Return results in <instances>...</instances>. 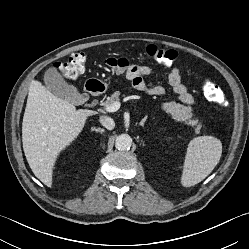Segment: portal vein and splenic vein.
Wrapping results in <instances>:
<instances>
[{"instance_id":"18ae733b","label":"portal vein and splenic vein","mask_w":249,"mask_h":249,"mask_svg":"<svg viewBox=\"0 0 249 249\" xmlns=\"http://www.w3.org/2000/svg\"><path fill=\"white\" fill-rule=\"evenodd\" d=\"M121 106V103L119 101L114 102L112 105L110 106H106V111L108 112H116Z\"/></svg>"}]
</instances>
